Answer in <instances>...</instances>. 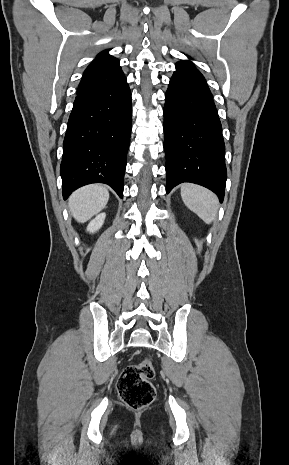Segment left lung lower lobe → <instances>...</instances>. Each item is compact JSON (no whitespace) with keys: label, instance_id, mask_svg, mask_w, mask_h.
I'll return each mask as SVG.
<instances>
[{"label":"left lung lower lobe","instance_id":"obj_1","mask_svg":"<svg viewBox=\"0 0 289 465\" xmlns=\"http://www.w3.org/2000/svg\"><path fill=\"white\" fill-rule=\"evenodd\" d=\"M166 192L182 182L202 185L223 201L227 170L221 123L195 67L176 66L165 94Z\"/></svg>","mask_w":289,"mask_h":465}]
</instances>
